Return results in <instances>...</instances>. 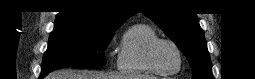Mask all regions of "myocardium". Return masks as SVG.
<instances>
[{
  "label": "myocardium",
  "instance_id": "f54148a6",
  "mask_svg": "<svg viewBox=\"0 0 255 79\" xmlns=\"http://www.w3.org/2000/svg\"><path fill=\"white\" fill-rule=\"evenodd\" d=\"M162 43L169 44L176 50V52L179 56V65H178V68L176 70L167 71V70H164V69H162L161 67H159L157 65V63L155 61L154 53H155V49L157 48V46L162 44ZM146 60H147V63L149 65V67L155 73L161 74V75L176 74L182 69L183 64H184V57H183V53H182V50L180 49V47L173 40L166 39V38H157L148 45L147 50H146Z\"/></svg>",
  "mask_w": 255,
  "mask_h": 79
}]
</instances>
